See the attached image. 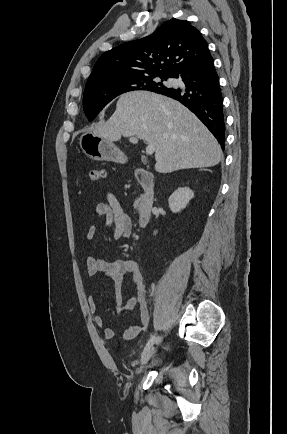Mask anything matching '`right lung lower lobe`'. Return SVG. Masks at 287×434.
I'll use <instances>...</instances> for the list:
<instances>
[{"instance_id":"1","label":"right lung lower lobe","mask_w":287,"mask_h":434,"mask_svg":"<svg viewBox=\"0 0 287 434\" xmlns=\"http://www.w3.org/2000/svg\"><path fill=\"white\" fill-rule=\"evenodd\" d=\"M173 78L182 80L184 85L155 92L176 99L189 108L224 148L223 98L219 77L210 53L181 70Z\"/></svg>"}]
</instances>
